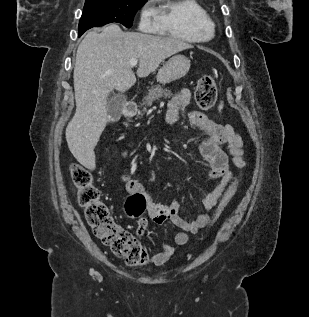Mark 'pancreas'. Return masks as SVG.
Listing matches in <instances>:
<instances>
[{"mask_svg":"<svg viewBox=\"0 0 309 317\" xmlns=\"http://www.w3.org/2000/svg\"><path fill=\"white\" fill-rule=\"evenodd\" d=\"M171 95L169 89H164L160 85H155L149 90L147 96L144 97L139 115H143L147 111V107L151 106L154 101L159 100L160 98L170 97Z\"/></svg>","mask_w":309,"mask_h":317,"instance_id":"pancreas-1","label":"pancreas"}]
</instances>
